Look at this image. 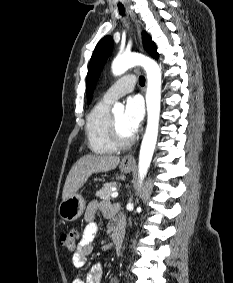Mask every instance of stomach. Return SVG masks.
Segmentation results:
<instances>
[{"label": "stomach", "mask_w": 233, "mask_h": 283, "mask_svg": "<svg viewBox=\"0 0 233 283\" xmlns=\"http://www.w3.org/2000/svg\"><path fill=\"white\" fill-rule=\"evenodd\" d=\"M121 172L129 173L132 170L131 164L120 163ZM85 209V201L81 194L75 193L73 196L63 200L58 208L60 217L68 222L78 219Z\"/></svg>", "instance_id": "obj_1"}]
</instances>
